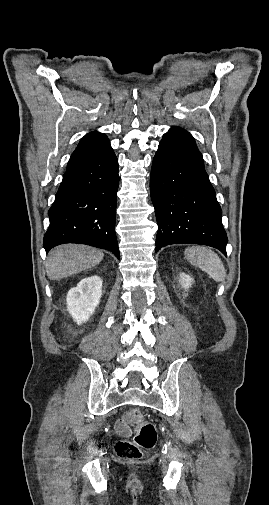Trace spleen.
Returning <instances> with one entry per match:
<instances>
[{
  "mask_svg": "<svg viewBox=\"0 0 269 505\" xmlns=\"http://www.w3.org/2000/svg\"><path fill=\"white\" fill-rule=\"evenodd\" d=\"M184 255L190 264L205 271L214 281H224L226 270L223 262L211 249L204 246H192L185 249Z\"/></svg>",
  "mask_w": 269,
  "mask_h": 505,
  "instance_id": "3e777b00",
  "label": "spleen"
}]
</instances>
